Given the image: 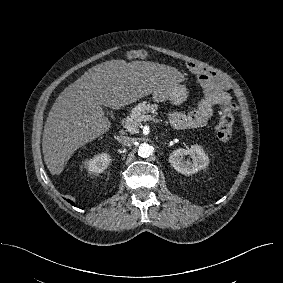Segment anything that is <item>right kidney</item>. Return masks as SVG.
<instances>
[{"label":"right kidney","mask_w":283,"mask_h":283,"mask_svg":"<svg viewBox=\"0 0 283 283\" xmlns=\"http://www.w3.org/2000/svg\"><path fill=\"white\" fill-rule=\"evenodd\" d=\"M111 161L110 155L107 153H100L93 158L85 161V168L88 172L102 173Z\"/></svg>","instance_id":"right-kidney-1"}]
</instances>
